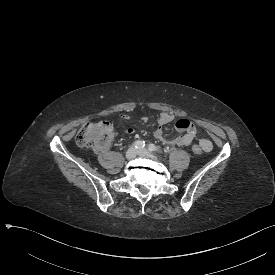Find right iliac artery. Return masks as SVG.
Instances as JSON below:
<instances>
[{"label": "right iliac artery", "mask_w": 275, "mask_h": 275, "mask_svg": "<svg viewBox=\"0 0 275 275\" xmlns=\"http://www.w3.org/2000/svg\"><path fill=\"white\" fill-rule=\"evenodd\" d=\"M133 146L135 148H139V149L144 148L145 147V141H142V140L135 141L133 143Z\"/></svg>", "instance_id": "82829eb1"}]
</instances>
